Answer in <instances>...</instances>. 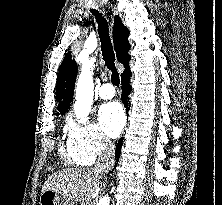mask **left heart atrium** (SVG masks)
Returning a JSON list of instances; mask_svg holds the SVG:
<instances>
[{
  "mask_svg": "<svg viewBox=\"0 0 222 205\" xmlns=\"http://www.w3.org/2000/svg\"><path fill=\"white\" fill-rule=\"evenodd\" d=\"M99 121L103 131L112 138L119 135L125 124V115L118 102H110L101 106Z\"/></svg>",
  "mask_w": 222,
  "mask_h": 205,
  "instance_id": "39dd6f15",
  "label": "left heart atrium"
}]
</instances>
